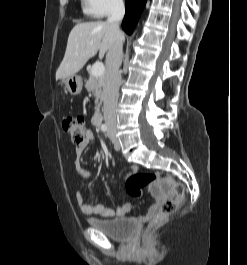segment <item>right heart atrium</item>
Wrapping results in <instances>:
<instances>
[{
    "mask_svg": "<svg viewBox=\"0 0 247 265\" xmlns=\"http://www.w3.org/2000/svg\"><path fill=\"white\" fill-rule=\"evenodd\" d=\"M85 13L93 18H102L120 11L123 0H82Z\"/></svg>",
    "mask_w": 247,
    "mask_h": 265,
    "instance_id": "obj_1",
    "label": "right heart atrium"
}]
</instances>
